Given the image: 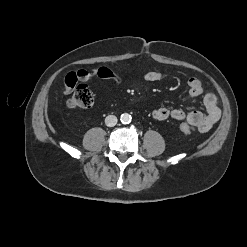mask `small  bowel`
<instances>
[{"label": "small bowel", "instance_id": "1", "mask_svg": "<svg viewBox=\"0 0 247 247\" xmlns=\"http://www.w3.org/2000/svg\"><path fill=\"white\" fill-rule=\"evenodd\" d=\"M98 77L102 79H110L119 84L121 78L112 70L106 67H100L97 69H79L77 71L69 72L64 79L63 92L70 94L79 82H87L90 79ZM145 80L148 82L159 81L163 78V74L160 71H150L145 74ZM188 93L190 98L195 99L203 96V103L206 108V114L194 110L184 111L182 109H170L166 107L155 108L152 111L154 119L163 121L167 119H174L177 121H184L187 124L196 127L199 132H208L220 119L221 110L219 108V102L216 94L212 92L204 93L203 85L198 78L191 77L187 81Z\"/></svg>", "mask_w": 247, "mask_h": 247}]
</instances>
